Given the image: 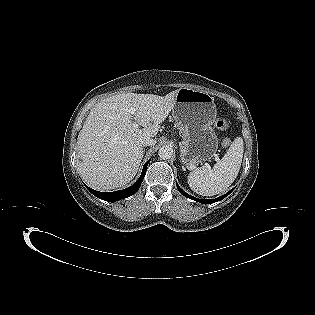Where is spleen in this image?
Returning <instances> with one entry per match:
<instances>
[{
    "mask_svg": "<svg viewBox=\"0 0 315 315\" xmlns=\"http://www.w3.org/2000/svg\"><path fill=\"white\" fill-rule=\"evenodd\" d=\"M243 150V139L235 138L226 154L211 170L198 167L189 173V187L202 196H213L226 190L239 173Z\"/></svg>",
    "mask_w": 315,
    "mask_h": 315,
    "instance_id": "1",
    "label": "spleen"
}]
</instances>
